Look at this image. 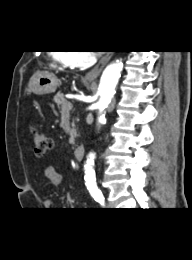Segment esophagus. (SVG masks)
Wrapping results in <instances>:
<instances>
[{"mask_svg":"<svg viewBox=\"0 0 192 260\" xmlns=\"http://www.w3.org/2000/svg\"><path fill=\"white\" fill-rule=\"evenodd\" d=\"M111 57H112V53L110 52L107 53L105 56H103L101 60L98 62V64L86 74L85 78L87 80L96 79L100 75V73L102 72L103 68L106 66L108 61L111 59Z\"/></svg>","mask_w":192,"mask_h":260,"instance_id":"34e87169","label":"esophagus"}]
</instances>
